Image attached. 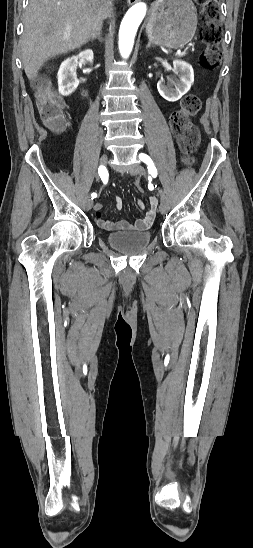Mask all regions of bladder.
<instances>
[{"instance_id": "1", "label": "bladder", "mask_w": 253, "mask_h": 548, "mask_svg": "<svg viewBox=\"0 0 253 548\" xmlns=\"http://www.w3.org/2000/svg\"><path fill=\"white\" fill-rule=\"evenodd\" d=\"M108 244L125 254H135L144 250L151 241V232L146 231H116L107 234Z\"/></svg>"}]
</instances>
